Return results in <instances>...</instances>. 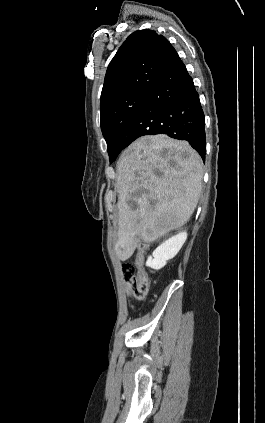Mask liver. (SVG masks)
I'll return each instance as SVG.
<instances>
[{
  "label": "liver",
  "instance_id": "obj_1",
  "mask_svg": "<svg viewBox=\"0 0 265 423\" xmlns=\"http://www.w3.org/2000/svg\"><path fill=\"white\" fill-rule=\"evenodd\" d=\"M116 173L119 219L114 249L125 261L140 239L155 241L188 222L200 197L203 163L188 142L148 135L122 152Z\"/></svg>",
  "mask_w": 265,
  "mask_h": 423
}]
</instances>
